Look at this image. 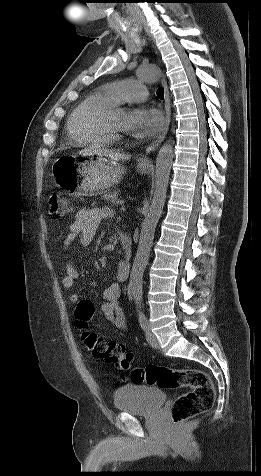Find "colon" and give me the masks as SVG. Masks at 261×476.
Here are the masks:
<instances>
[{
    "instance_id": "colon-1",
    "label": "colon",
    "mask_w": 261,
    "mask_h": 476,
    "mask_svg": "<svg viewBox=\"0 0 261 476\" xmlns=\"http://www.w3.org/2000/svg\"><path fill=\"white\" fill-rule=\"evenodd\" d=\"M49 215L53 219H62L72 212L68 199L54 191L48 198ZM94 314V306L89 301H80L75 310L76 325L81 330V339L92 354L105 363L115 365L119 370L127 371L133 360V354L123 345L106 341L87 328ZM135 383H145L164 389L189 388L190 391L178 396L170 408V420L181 424L190 418L209 410L214 403L213 383L202 370L166 366L148 365L136 368L131 373Z\"/></svg>"
}]
</instances>
